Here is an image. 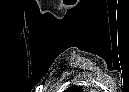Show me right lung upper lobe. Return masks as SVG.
I'll list each match as a JSON object with an SVG mask.
<instances>
[{
    "label": "right lung upper lobe",
    "instance_id": "cb5924a9",
    "mask_svg": "<svg viewBox=\"0 0 129 92\" xmlns=\"http://www.w3.org/2000/svg\"><path fill=\"white\" fill-rule=\"evenodd\" d=\"M78 89L80 90L81 88H80V87H78ZM65 91H69V88H68L67 90H65Z\"/></svg>",
    "mask_w": 129,
    "mask_h": 92
}]
</instances>
